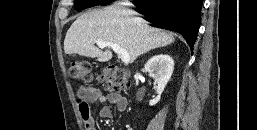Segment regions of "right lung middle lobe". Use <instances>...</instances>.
I'll list each match as a JSON object with an SVG mask.
<instances>
[{"label":"right lung middle lobe","mask_w":257,"mask_h":130,"mask_svg":"<svg viewBox=\"0 0 257 130\" xmlns=\"http://www.w3.org/2000/svg\"><path fill=\"white\" fill-rule=\"evenodd\" d=\"M111 2L110 0H74L75 10L80 11L90 5H104Z\"/></svg>","instance_id":"dd1d6c3e"}]
</instances>
